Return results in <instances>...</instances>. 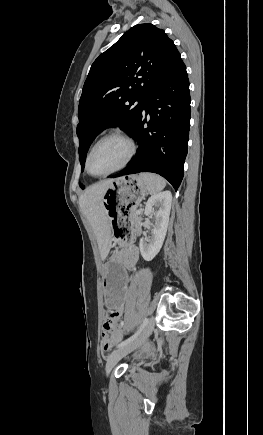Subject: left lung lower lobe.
<instances>
[{
	"instance_id": "1",
	"label": "left lung lower lobe",
	"mask_w": 263,
	"mask_h": 435,
	"mask_svg": "<svg viewBox=\"0 0 263 435\" xmlns=\"http://www.w3.org/2000/svg\"><path fill=\"white\" fill-rule=\"evenodd\" d=\"M190 94L186 67L179 61L170 75L146 99L132 132L139 148L127 169L113 177L153 172L167 179L175 190L182 178L190 127ZM150 120H142L143 112ZM147 122L148 127L144 128Z\"/></svg>"
}]
</instances>
